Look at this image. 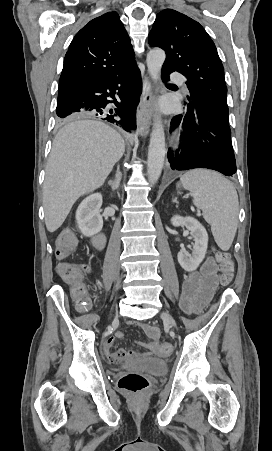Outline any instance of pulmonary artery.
Wrapping results in <instances>:
<instances>
[{"mask_svg": "<svg viewBox=\"0 0 272 451\" xmlns=\"http://www.w3.org/2000/svg\"><path fill=\"white\" fill-rule=\"evenodd\" d=\"M172 78H173V80L174 81H176V86L177 87H179V89L182 91L184 88L182 87L183 86V81H184V79H185V76H184V74H182V73H179V71L178 70H173L172 71Z\"/></svg>", "mask_w": 272, "mask_h": 451, "instance_id": "1", "label": "pulmonary artery"}]
</instances>
